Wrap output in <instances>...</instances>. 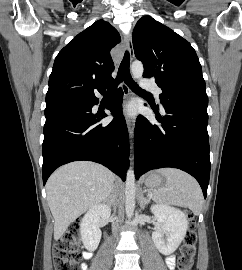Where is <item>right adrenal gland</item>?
<instances>
[{"label":"right adrenal gland","instance_id":"1","mask_svg":"<svg viewBox=\"0 0 242 270\" xmlns=\"http://www.w3.org/2000/svg\"><path fill=\"white\" fill-rule=\"evenodd\" d=\"M106 201L109 203L110 202V196L106 199Z\"/></svg>","mask_w":242,"mask_h":270}]
</instances>
